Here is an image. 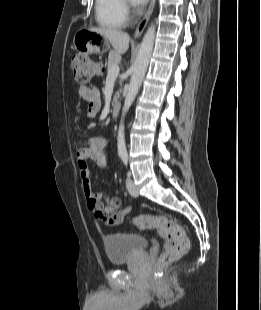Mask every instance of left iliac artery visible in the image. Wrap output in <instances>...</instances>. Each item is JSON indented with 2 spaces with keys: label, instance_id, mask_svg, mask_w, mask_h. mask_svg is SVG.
<instances>
[{
  "label": "left iliac artery",
  "instance_id": "left-iliac-artery-1",
  "mask_svg": "<svg viewBox=\"0 0 261 310\" xmlns=\"http://www.w3.org/2000/svg\"><path fill=\"white\" fill-rule=\"evenodd\" d=\"M122 160H123L124 164L127 165L128 156L127 155H123L122 156Z\"/></svg>",
  "mask_w": 261,
  "mask_h": 310
}]
</instances>
